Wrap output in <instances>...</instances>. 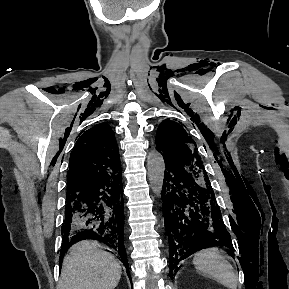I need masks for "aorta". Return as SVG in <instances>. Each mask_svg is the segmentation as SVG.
<instances>
[{
    "mask_svg": "<svg viewBox=\"0 0 289 289\" xmlns=\"http://www.w3.org/2000/svg\"><path fill=\"white\" fill-rule=\"evenodd\" d=\"M165 162L163 155L157 151H151L147 158V174L152 191L160 196L164 180Z\"/></svg>",
    "mask_w": 289,
    "mask_h": 289,
    "instance_id": "1",
    "label": "aorta"
}]
</instances>
